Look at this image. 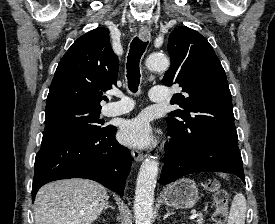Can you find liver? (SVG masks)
I'll list each match as a JSON object with an SVG mask.
<instances>
[{
    "label": "liver",
    "instance_id": "liver-1",
    "mask_svg": "<svg viewBox=\"0 0 275 224\" xmlns=\"http://www.w3.org/2000/svg\"><path fill=\"white\" fill-rule=\"evenodd\" d=\"M106 189L87 179H65L39 189L35 224H92L108 205Z\"/></svg>",
    "mask_w": 275,
    "mask_h": 224
}]
</instances>
